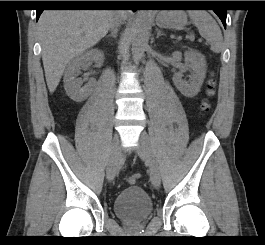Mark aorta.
Returning a JSON list of instances; mask_svg holds the SVG:
<instances>
[{"instance_id":"obj_1","label":"aorta","mask_w":265,"mask_h":245,"mask_svg":"<svg viewBox=\"0 0 265 245\" xmlns=\"http://www.w3.org/2000/svg\"><path fill=\"white\" fill-rule=\"evenodd\" d=\"M148 25L147 16L144 13L139 14L132 39V57L135 62L141 60L148 46Z\"/></svg>"}]
</instances>
